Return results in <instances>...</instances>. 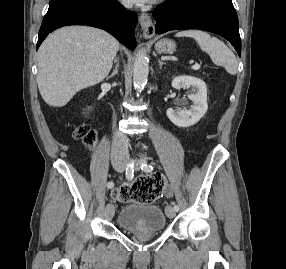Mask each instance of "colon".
I'll use <instances>...</instances> for the list:
<instances>
[{
    "mask_svg": "<svg viewBox=\"0 0 286 269\" xmlns=\"http://www.w3.org/2000/svg\"><path fill=\"white\" fill-rule=\"evenodd\" d=\"M73 134L76 139L81 140L87 146H93L97 139L96 131L84 124L75 127ZM165 183L166 180L162 174L141 175L136 177L131 184L115 187L111 192V198L119 202L149 203L161 194Z\"/></svg>",
    "mask_w": 286,
    "mask_h": 269,
    "instance_id": "1",
    "label": "colon"
}]
</instances>
